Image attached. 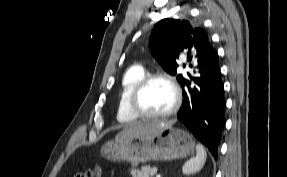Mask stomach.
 <instances>
[{
    "label": "stomach",
    "instance_id": "obj_1",
    "mask_svg": "<svg viewBox=\"0 0 287 177\" xmlns=\"http://www.w3.org/2000/svg\"><path fill=\"white\" fill-rule=\"evenodd\" d=\"M194 150L190 134L169 126L146 135L115 138L102 146L101 153L107 160L139 164L183 159L194 154Z\"/></svg>",
    "mask_w": 287,
    "mask_h": 177
}]
</instances>
